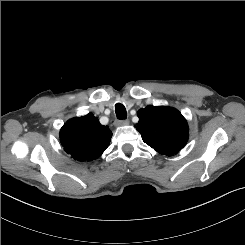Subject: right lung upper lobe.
<instances>
[{
	"label": "right lung upper lobe",
	"mask_w": 245,
	"mask_h": 245,
	"mask_svg": "<svg viewBox=\"0 0 245 245\" xmlns=\"http://www.w3.org/2000/svg\"><path fill=\"white\" fill-rule=\"evenodd\" d=\"M111 136L108 126L101 125L92 113L70 119L60 130V142L64 150L81 162L101 156L109 146Z\"/></svg>",
	"instance_id": "1"
}]
</instances>
